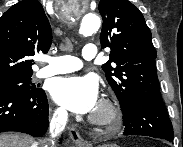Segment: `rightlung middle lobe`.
I'll return each instance as SVG.
<instances>
[{
    "mask_svg": "<svg viewBox=\"0 0 183 147\" xmlns=\"http://www.w3.org/2000/svg\"><path fill=\"white\" fill-rule=\"evenodd\" d=\"M31 76L32 75L0 80V91L10 89H18V90L36 89L37 87L34 84H31Z\"/></svg>",
    "mask_w": 183,
    "mask_h": 147,
    "instance_id": "1",
    "label": "right lung middle lobe"
}]
</instances>
